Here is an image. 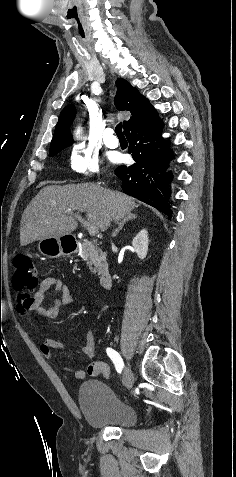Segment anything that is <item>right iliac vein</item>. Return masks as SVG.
<instances>
[{
    "mask_svg": "<svg viewBox=\"0 0 236 477\" xmlns=\"http://www.w3.org/2000/svg\"><path fill=\"white\" fill-rule=\"evenodd\" d=\"M134 383V375L132 370L129 367H126L125 371V385L121 386V389H126V390H131L132 386ZM128 397L130 396L129 394L127 395Z\"/></svg>",
    "mask_w": 236,
    "mask_h": 477,
    "instance_id": "right-iliac-vein-1",
    "label": "right iliac vein"
}]
</instances>
